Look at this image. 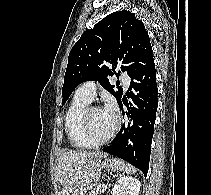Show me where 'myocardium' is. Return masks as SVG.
Returning <instances> with one entry per match:
<instances>
[{"label":"myocardium","mask_w":211,"mask_h":195,"mask_svg":"<svg viewBox=\"0 0 211 195\" xmlns=\"http://www.w3.org/2000/svg\"><path fill=\"white\" fill-rule=\"evenodd\" d=\"M95 109H102V107L98 106V105H91L85 108L83 114H82V119H81V123H82V133L85 137V139L92 145V146H101L104 145L106 143H108L116 134V132L118 131L119 127H120V119L117 115H114V126L112 128V130L110 131V133L103 139H95L92 136L91 133V127H90V116H91V112Z\"/></svg>","instance_id":"obj_1"}]
</instances>
